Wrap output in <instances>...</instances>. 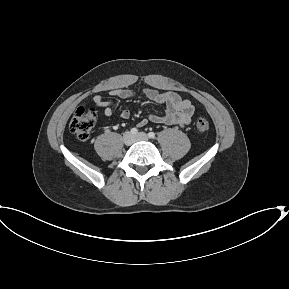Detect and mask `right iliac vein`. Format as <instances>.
Wrapping results in <instances>:
<instances>
[{
    "mask_svg": "<svg viewBox=\"0 0 289 289\" xmlns=\"http://www.w3.org/2000/svg\"><path fill=\"white\" fill-rule=\"evenodd\" d=\"M134 137L130 132H125L123 135V142L125 145L129 146L133 143Z\"/></svg>",
    "mask_w": 289,
    "mask_h": 289,
    "instance_id": "63e3f726",
    "label": "right iliac vein"
}]
</instances>
